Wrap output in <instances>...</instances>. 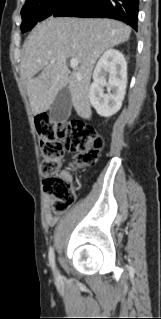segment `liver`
<instances>
[{"mask_svg":"<svg viewBox=\"0 0 161 319\" xmlns=\"http://www.w3.org/2000/svg\"><path fill=\"white\" fill-rule=\"evenodd\" d=\"M130 33L129 26L111 19L49 18L36 25L25 41L21 60L33 114L47 111L58 92L68 86L77 114L90 119L94 65L105 50L127 41ZM70 57L79 61L72 73L67 65Z\"/></svg>","mask_w":161,"mask_h":319,"instance_id":"1","label":"liver"}]
</instances>
